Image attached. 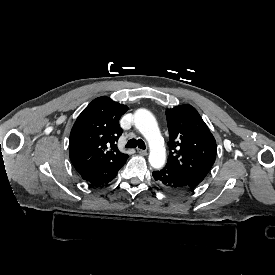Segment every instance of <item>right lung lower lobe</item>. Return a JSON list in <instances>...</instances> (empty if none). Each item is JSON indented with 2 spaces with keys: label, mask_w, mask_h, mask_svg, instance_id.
Masks as SVG:
<instances>
[{
  "label": "right lung lower lobe",
  "mask_w": 275,
  "mask_h": 275,
  "mask_svg": "<svg viewBox=\"0 0 275 275\" xmlns=\"http://www.w3.org/2000/svg\"><path fill=\"white\" fill-rule=\"evenodd\" d=\"M125 162L122 164H116V163L100 164V165L79 171V174L84 180H86L91 184L98 185V186L104 185L116 177L118 170L125 164Z\"/></svg>",
  "instance_id": "98d812e1"
}]
</instances>
